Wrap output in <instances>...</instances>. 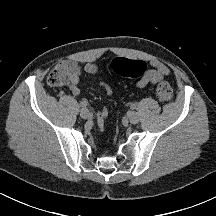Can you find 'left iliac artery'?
<instances>
[{"mask_svg":"<svg viewBox=\"0 0 216 216\" xmlns=\"http://www.w3.org/2000/svg\"><path fill=\"white\" fill-rule=\"evenodd\" d=\"M136 106H137L136 103L131 104V109H136Z\"/></svg>","mask_w":216,"mask_h":216,"instance_id":"left-iliac-artery-1","label":"left iliac artery"}]
</instances>
